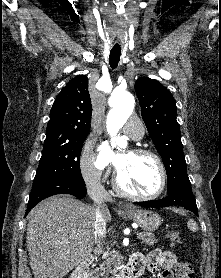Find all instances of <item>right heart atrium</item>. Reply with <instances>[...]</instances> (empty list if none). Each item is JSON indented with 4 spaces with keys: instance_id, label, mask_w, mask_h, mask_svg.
Segmentation results:
<instances>
[{
    "instance_id": "1",
    "label": "right heart atrium",
    "mask_w": 221,
    "mask_h": 278,
    "mask_svg": "<svg viewBox=\"0 0 221 278\" xmlns=\"http://www.w3.org/2000/svg\"><path fill=\"white\" fill-rule=\"evenodd\" d=\"M93 145L87 142L82 151L79 170L82 179L88 184H97L101 182L107 175L104 167L97 162L93 153Z\"/></svg>"
}]
</instances>
